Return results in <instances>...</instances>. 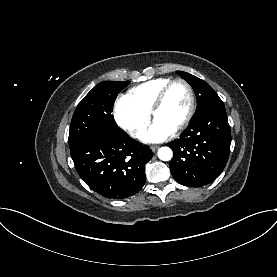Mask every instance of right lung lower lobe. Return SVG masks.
<instances>
[{
	"label": "right lung lower lobe",
	"mask_w": 277,
	"mask_h": 277,
	"mask_svg": "<svg viewBox=\"0 0 277 277\" xmlns=\"http://www.w3.org/2000/svg\"><path fill=\"white\" fill-rule=\"evenodd\" d=\"M70 153L79 176L93 191L111 199L139 192L145 184L144 165L153 153L124 133L96 132Z\"/></svg>",
	"instance_id": "right-lung-lower-lobe-1"
}]
</instances>
